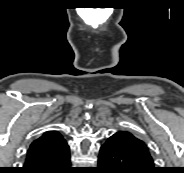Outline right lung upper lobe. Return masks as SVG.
<instances>
[{"mask_svg":"<svg viewBox=\"0 0 184 173\" xmlns=\"http://www.w3.org/2000/svg\"><path fill=\"white\" fill-rule=\"evenodd\" d=\"M67 146V142L58 131H47L32 142L26 160L56 154Z\"/></svg>","mask_w":184,"mask_h":173,"instance_id":"obj_1","label":"right lung upper lobe"}]
</instances>
